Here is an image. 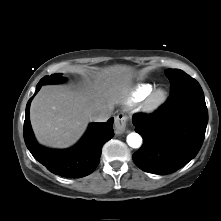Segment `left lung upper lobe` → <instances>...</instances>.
Masks as SVG:
<instances>
[{"label": "left lung upper lobe", "mask_w": 221, "mask_h": 221, "mask_svg": "<svg viewBox=\"0 0 221 221\" xmlns=\"http://www.w3.org/2000/svg\"><path fill=\"white\" fill-rule=\"evenodd\" d=\"M166 76L170 80V93L174 92L178 88L196 83L197 81L190 77L188 74H186L184 71L179 69H168L165 71Z\"/></svg>", "instance_id": "1"}]
</instances>
